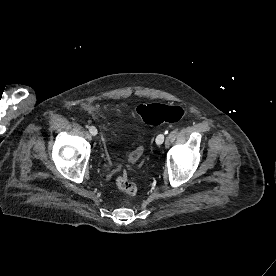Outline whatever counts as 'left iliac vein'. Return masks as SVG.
<instances>
[{"label": "left iliac vein", "instance_id": "obj_1", "mask_svg": "<svg viewBox=\"0 0 276 276\" xmlns=\"http://www.w3.org/2000/svg\"><path fill=\"white\" fill-rule=\"evenodd\" d=\"M165 139V135L164 134H159L156 138V143L158 145H161L164 142Z\"/></svg>", "mask_w": 276, "mask_h": 276}]
</instances>
